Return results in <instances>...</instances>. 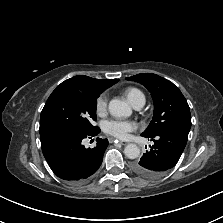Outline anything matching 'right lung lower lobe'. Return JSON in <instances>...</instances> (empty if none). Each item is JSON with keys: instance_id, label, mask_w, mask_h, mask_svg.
<instances>
[{"instance_id": "1", "label": "right lung lower lobe", "mask_w": 223, "mask_h": 223, "mask_svg": "<svg viewBox=\"0 0 223 223\" xmlns=\"http://www.w3.org/2000/svg\"><path fill=\"white\" fill-rule=\"evenodd\" d=\"M99 132V128L91 132L55 129L40 134L43 155L54 174L71 183L88 181L100 167L109 143L98 138L94 148H85L82 140Z\"/></svg>"}]
</instances>
